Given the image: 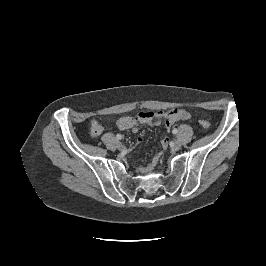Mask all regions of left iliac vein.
Masks as SVG:
<instances>
[{"instance_id":"1","label":"left iliac vein","mask_w":266,"mask_h":266,"mask_svg":"<svg viewBox=\"0 0 266 266\" xmlns=\"http://www.w3.org/2000/svg\"><path fill=\"white\" fill-rule=\"evenodd\" d=\"M172 147H173V149L176 150V151L179 150V149L181 148V142L178 141V140H175V141L173 142Z\"/></svg>"}]
</instances>
